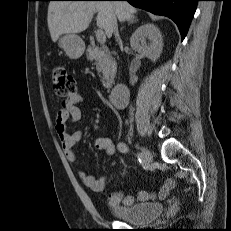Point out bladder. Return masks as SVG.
Masks as SVG:
<instances>
[{"label": "bladder", "instance_id": "obj_1", "mask_svg": "<svg viewBox=\"0 0 231 231\" xmlns=\"http://www.w3.org/2000/svg\"><path fill=\"white\" fill-rule=\"evenodd\" d=\"M109 211L118 220L130 224H149L163 212L162 203H131L122 207L110 208Z\"/></svg>", "mask_w": 231, "mask_h": 231}]
</instances>
